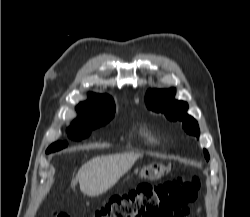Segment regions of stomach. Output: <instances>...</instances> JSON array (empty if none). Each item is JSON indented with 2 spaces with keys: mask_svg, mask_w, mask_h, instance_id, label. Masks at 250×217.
<instances>
[{
  "mask_svg": "<svg viewBox=\"0 0 250 217\" xmlns=\"http://www.w3.org/2000/svg\"><path fill=\"white\" fill-rule=\"evenodd\" d=\"M165 166L158 163L150 164L140 170L139 176L148 180H158L165 173Z\"/></svg>",
  "mask_w": 250,
  "mask_h": 217,
  "instance_id": "obj_1",
  "label": "stomach"
}]
</instances>
